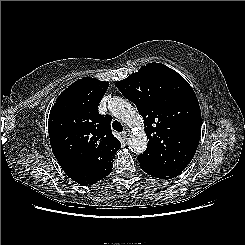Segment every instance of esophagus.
<instances>
[{
	"label": "esophagus",
	"mask_w": 245,
	"mask_h": 245,
	"mask_svg": "<svg viewBox=\"0 0 245 245\" xmlns=\"http://www.w3.org/2000/svg\"><path fill=\"white\" fill-rule=\"evenodd\" d=\"M122 135L124 139H127L130 135V130L128 128H125L124 131L122 132Z\"/></svg>",
	"instance_id": "obj_1"
}]
</instances>
